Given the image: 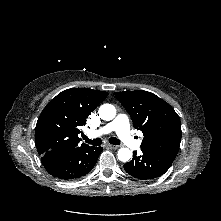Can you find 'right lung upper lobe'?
Masks as SVG:
<instances>
[{
  "mask_svg": "<svg viewBox=\"0 0 221 221\" xmlns=\"http://www.w3.org/2000/svg\"><path fill=\"white\" fill-rule=\"evenodd\" d=\"M108 93L89 88H70L53 98L40 114L35 128V143L41 157L47 158L79 144L80 127L107 97Z\"/></svg>",
  "mask_w": 221,
  "mask_h": 221,
  "instance_id": "cb5924a9",
  "label": "right lung upper lobe"
}]
</instances>
